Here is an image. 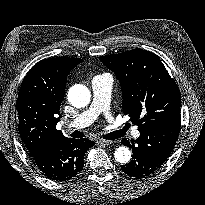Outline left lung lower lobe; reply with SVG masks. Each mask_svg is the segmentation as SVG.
Returning a JSON list of instances; mask_svg holds the SVG:
<instances>
[{"mask_svg": "<svg viewBox=\"0 0 205 205\" xmlns=\"http://www.w3.org/2000/svg\"><path fill=\"white\" fill-rule=\"evenodd\" d=\"M179 132L180 123H168L140 131L137 140L123 138L121 143L133 152L132 161L122 167L123 172L135 178L154 174L170 156Z\"/></svg>", "mask_w": 205, "mask_h": 205, "instance_id": "1", "label": "left lung lower lobe"}]
</instances>
